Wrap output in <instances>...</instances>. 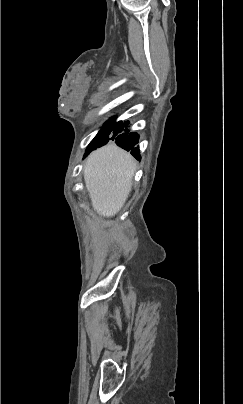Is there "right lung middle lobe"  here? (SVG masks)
<instances>
[{"label": "right lung middle lobe", "instance_id": "dd1d6c3e", "mask_svg": "<svg viewBox=\"0 0 243 404\" xmlns=\"http://www.w3.org/2000/svg\"><path fill=\"white\" fill-rule=\"evenodd\" d=\"M114 120H115V118H111L106 124L103 125V128L98 132L96 137L91 141V143L87 147V151H86L84 157H86L91 151L108 143L109 136L115 125Z\"/></svg>", "mask_w": 243, "mask_h": 404}]
</instances>
